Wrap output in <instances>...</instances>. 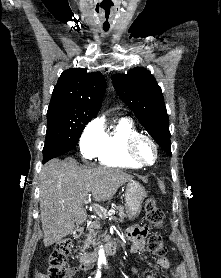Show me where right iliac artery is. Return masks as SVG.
<instances>
[{"label": "right iliac artery", "mask_w": 221, "mask_h": 278, "mask_svg": "<svg viewBox=\"0 0 221 278\" xmlns=\"http://www.w3.org/2000/svg\"><path fill=\"white\" fill-rule=\"evenodd\" d=\"M99 268H100V266H99ZM100 277H101V271L98 270L95 278H100Z\"/></svg>", "instance_id": "82829eb1"}]
</instances>
